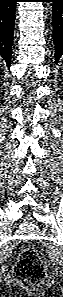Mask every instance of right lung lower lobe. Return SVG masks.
Returning a JSON list of instances; mask_svg holds the SVG:
<instances>
[{"instance_id": "98d812e1", "label": "right lung lower lobe", "mask_w": 63, "mask_h": 297, "mask_svg": "<svg viewBox=\"0 0 63 297\" xmlns=\"http://www.w3.org/2000/svg\"><path fill=\"white\" fill-rule=\"evenodd\" d=\"M18 0H0V56L10 68L12 55L13 29L16 2Z\"/></svg>"}]
</instances>
